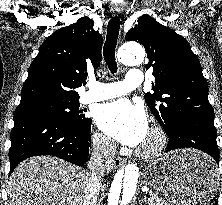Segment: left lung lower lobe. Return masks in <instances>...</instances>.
I'll list each match as a JSON object with an SVG mask.
<instances>
[{"label":"left lung lower lobe","mask_w":222,"mask_h":205,"mask_svg":"<svg viewBox=\"0 0 222 205\" xmlns=\"http://www.w3.org/2000/svg\"><path fill=\"white\" fill-rule=\"evenodd\" d=\"M169 142L166 151L179 148H195L209 154L219 164V149L214 118L202 115H187L167 134Z\"/></svg>","instance_id":"obj_1"}]
</instances>
